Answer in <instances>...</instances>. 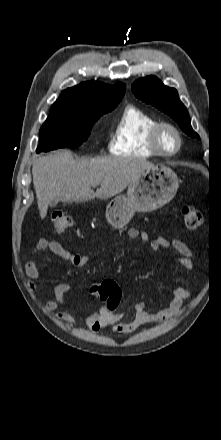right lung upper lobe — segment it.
I'll return each instance as SVG.
<instances>
[{"mask_svg": "<svg viewBox=\"0 0 221 440\" xmlns=\"http://www.w3.org/2000/svg\"><path fill=\"white\" fill-rule=\"evenodd\" d=\"M125 84L110 86L98 81L83 82L64 90L52 106L91 108L117 106L125 94Z\"/></svg>", "mask_w": 221, "mask_h": 440, "instance_id": "cb5924a9", "label": "right lung upper lobe"}]
</instances>
